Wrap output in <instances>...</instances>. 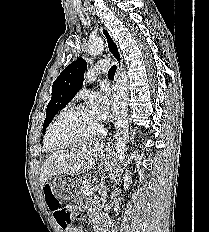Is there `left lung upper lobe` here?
I'll list each match as a JSON object with an SVG mask.
<instances>
[{
    "label": "left lung upper lobe",
    "instance_id": "5c2ea615",
    "mask_svg": "<svg viewBox=\"0 0 209 232\" xmlns=\"http://www.w3.org/2000/svg\"><path fill=\"white\" fill-rule=\"evenodd\" d=\"M87 62L78 58L69 64L54 81L52 97L46 109L43 130L51 123L55 115L63 109L82 87Z\"/></svg>",
    "mask_w": 209,
    "mask_h": 232
}]
</instances>
